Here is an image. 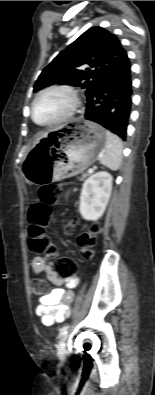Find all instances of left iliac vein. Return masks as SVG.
<instances>
[{
    "mask_svg": "<svg viewBox=\"0 0 155 395\" xmlns=\"http://www.w3.org/2000/svg\"><path fill=\"white\" fill-rule=\"evenodd\" d=\"M67 339H68V332L62 334L60 341L58 343V356L63 359L64 358V352H65V346L67 343Z\"/></svg>",
    "mask_w": 155,
    "mask_h": 395,
    "instance_id": "left-iliac-vein-1",
    "label": "left iliac vein"
}]
</instances>
